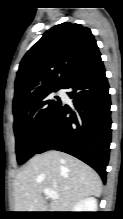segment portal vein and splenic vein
I'll list each match as a JSON object with an SVG mask.
<instances>
[{
  "label": "portal vein and splenic vein",
  "instance_id": "obj_1",
  "mask_svg": "<svg viewBox=\"0 0 123 219\" xmlns=\"http://www.w3.org/2000/svg\"><path fill=\"white\" fill-rule=\"evenodd\" d=\"M44 194L46 197L48 198H52V199H57L59 198L58 194L55 193L53 190L51 189H44Z\"/></svg>",
  "mask_w": 123,
  "mask_h": 219
}]
</instances>
